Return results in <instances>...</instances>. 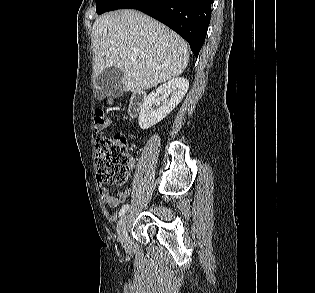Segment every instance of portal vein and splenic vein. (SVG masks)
I'll use <instances>...</instances> for the list:
<instances>
[{
	"mask_svg": "<svg viewBox=\"0 0 315 293\" xmlns=\"http://www.w3.org/2000/svg\"><path fill=\"white\" fill-rule=\"evenodd\" d=\"M131 61H134L133 57L131 58Z\"/></svg>",
	"mask_w": 315,
	"mask_h": 293,
	"instance_id": "portal-vein-and-splenic-vein-1",
	"label": "portal vein and splenic vein"
}]
</instances>
